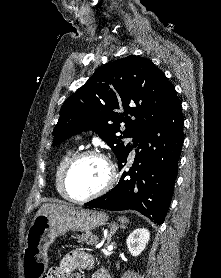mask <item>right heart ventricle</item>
<instances>
[{
  "instance_id": "right-heart-ventricle-1",
  "label": "right heart ventricle",
  "mask_w": 221,
  "mask_h": 278,
  "mask_svg": "<svg viewBox=\"0 0 221 278\" xmlns=\"http://www.w3.org/2000/svg\"><path fill=\"white\" fill-rule=\"evenodd\" d=\"M74 154V149L72 147H68L64 150V152L62 153L58 163H57V166H56V169H55V187L58 191V193L66 198L64 196V193H63V190H62V186H61V177H62V172H63V169L67 163V161L70 159V157Z\"/></svg>"
}]
</instances>
